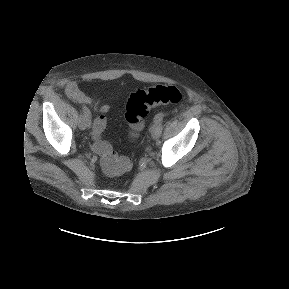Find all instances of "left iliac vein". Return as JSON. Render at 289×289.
Returning <instances> with one entry per match:
<instances>
[{"label": "left iliac vein", "mask_w": 289, "mask_h": 289, "mask_svg": "<svg viewBox=\"0 0 289 289\" xmlns=\"http://www.w3.org/2000/svg\"><path fill=\"white\" fill-rule=\"evenodd\" d=\"M150 132H151V136H152L154 139L159 138L160 135H161V132H162L161 123H160V122H154V123L151 125Z\"/></svg>", "instance_id": "1"}]
</instances>
